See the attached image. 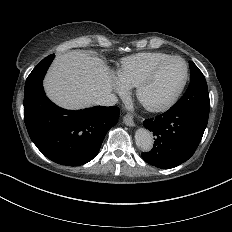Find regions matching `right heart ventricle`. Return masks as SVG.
I'll return each mask as SVG.
<instances>
[{
  "label": "right heart ventricle",
  "mask_w": 232,
  "mask_h": 232,
  "mask_svg": "<svg viewBox=\"0 0 232 232\" xmlns=\"http://www.w3.org/2000/svg\"><path fill=\"white\" fill-rule=\"evenodd\" d=\"M170 55L158 51H142L120 59L115 79L123 87V93L135 87L140 78L156 64L169 58Z\"/></svg>",
  "instance_id": "1"
}]
</instances>
